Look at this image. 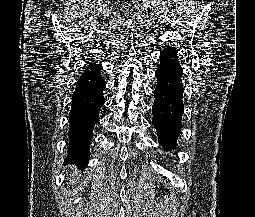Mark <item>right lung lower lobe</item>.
Returning <instances> with one entry per match:
<instances>
[{"instance_id": "98d812e1", "label": "right lung lower lobe", "mask_w": 255, "mask_h": 217, "mask_svg": "<svg viewBox=\"0 0 255 217\" xmlns=\"http://www.w3.org/2000/svg\"><path fill=\"white\" fill-rule=\"evenodd\" d=\"M77 81L70 110L69 148L67 161L84 168L89 161V147L93 127L99 120V109L104 104L106 85L100 65L89 64Z\"/></svg>"}]
</instances>
